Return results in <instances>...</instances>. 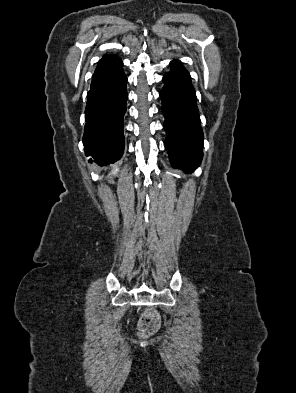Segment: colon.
Here are the masks:
<instances>
[{
    "label": "colon",
    "instance_id": "colon-1",
    "mask_svg": "<svg viewBox=\"0 0 296 393\" xmlns=\"http://www.w3.org/2000/svg\"><path fill=\"white\" fill-rule=\"evenodd\" d=\"M161 325V319L155 309L146 310L138 321V333L142 337H148L155 334Z\"/></svg>",
    "mask_w": 296,
    "mask_h": 393
}]
</instances>
